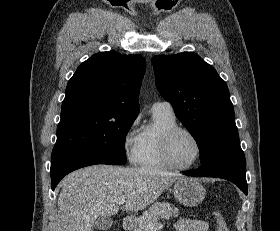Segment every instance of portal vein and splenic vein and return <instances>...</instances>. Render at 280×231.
<instances>
[{"label": "portal vein and splenic vein", "mask_w": 280, "mask_h": 231, "mask_svg": "<svg viewBox=\"0 0 280 231\" xmlns=\"http://www.w3.org/2000/svg\"><path fill=\"white\" fill-rule=\"evenodd\" d=\"M125 199L122 197V199H119L118 203H124ZM163 227V223H149L148 229L149 231H155V229H161Z\"/></svg>", "instance_id": "obj_1"}]
</instances>
